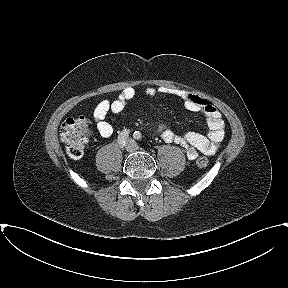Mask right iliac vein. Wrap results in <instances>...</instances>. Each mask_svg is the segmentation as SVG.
<instances>
[{
  "mask_svg": "<svg viewBox=\"0 0 288 288\" xmlns=\"http://www.w3.org/2000/svg\"><path fill=\"white\" fill-rule=\"evenodd\" d=\"M125 148H126L127 151L131 152V151H133L134 146H133L131 141H128L127 145L125 146Z\"/></svg>",
  "mask_w": 288,
  "mask_h": 288,
  "instance_id": "right-iliac-vein-1",
  "label": "right iliac vein"
}]
</instances>
